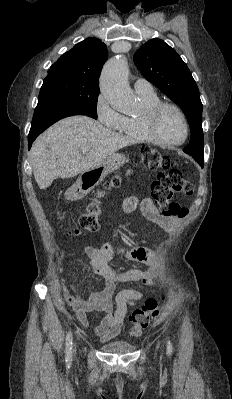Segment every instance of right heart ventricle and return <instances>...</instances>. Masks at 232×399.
Here are the masks:
<instances>
[{
  "instance_id": "obj_1",
  "label": "right heart ventricle",
  "mask_w": 232,
  "mask_h": 399,
  "mask_svg": "<svg viewBox=\"0 0 232 399\" xmlns=\"http://www.w3.org/2000/svg\"><path fill=\"white\" fill-rule=\"evenodd\" d=\"M140 100L143 106L142 114L137 117L122 116L115 130L123 139L132 143L164 147L165 145L159 143L147 133L143 123L145 111L161 103V100L155 94L151 96L141 95Z\"/></svg>"
}]
</instances>
